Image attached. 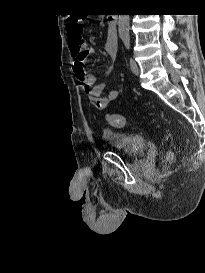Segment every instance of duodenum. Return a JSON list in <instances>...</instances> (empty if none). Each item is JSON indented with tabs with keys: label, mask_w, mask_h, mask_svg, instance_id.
Wrapping results in <instances>:
<instances>
[{
	"label": "duodenum",
	"mask_w": 205,
	"mask_h": 273,
	"mask_svg": "<svg viewBox=\"0 0 205 273\" xmlns=\"http://www.w3.org/2000/svg\"><path fill=\"white\" fill-rule=\"evenodd\" d=\"M116 23H117V16L115 14L108 16L107 24H108L110 30L112 31V36L115 40L117 39V37H116Z\"/></svg>",
	"instance_id": "obj_1"
}]
</instances>
